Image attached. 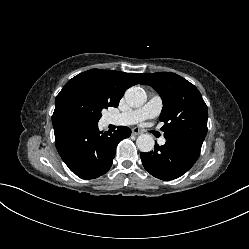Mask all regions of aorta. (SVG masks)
Instances as JSON below:
<instances>
[{"label": "aorta", "instance_id": "aorta-1", "mask_svg": "<svg viewBox=\"0 0 249 249\" xmlns=\"http://www.w3.org/2000/svg\"><path fill=\"white\" fill-rule=\"evenodd\" d=\"M124 96L127 104L131 107L142 106L147 100L146 92L137 86H132L127 89ZM154 144V138L150 134H141L136 140V145L139 150L145 153L152 151Z\"/></svg>", "mask_w": 249, "mask_h": 249}]
</instances>
